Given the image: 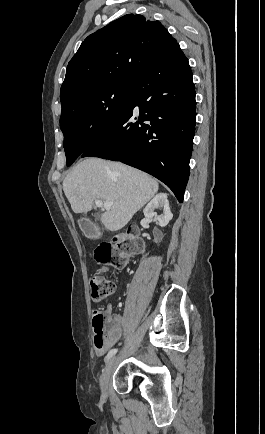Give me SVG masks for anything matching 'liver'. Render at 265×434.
<instances>
[{
	"label": "liver",
	"mask_w": 265,
	"mask_h": 434,
	"mask_svg": "<svg viewBox=\"0 0 265 434\" xmlns=\"http://www.w3.org/2000/svg\"><path fill=\"white\" fill-rule=\"evenodd\" d=\"M62 186L75 214L90 212L95 200L114 202L109 212L100 214L110 232L124 228L159 188L148 174L99 158H84L67 174Z\"/></svg>",
	"instance_id": "obj_1"
}]
</instances>
